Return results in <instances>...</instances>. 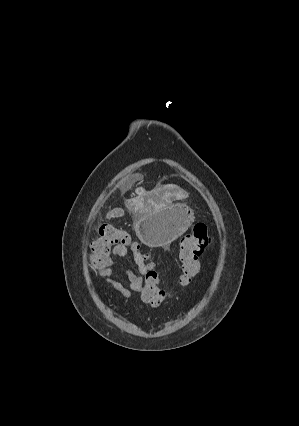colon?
Returning a JSON list of instances; mask_svg holds the SVG:
<instances>
[{"label":"colon","instance_id":"obj_1","mask_svg":"<svg viewBox=\"0 0 299 426\" xmlns=\"http://www.w3.org/2000/svg\"><path fill=\"white\" fill-rule=\"evenodd\" d=\"M212 243V236L204 223L195 224L191 232L182 236L178 253L182 270L179 278L181 286L187 287L193 282L199 272V257L205 249L212 246ZM116 246L139 250V245L124 230L111 223H103L99 228V237L91 244L89 260L92 268L99 270ZM142 256L147 266L141 292L142 301L151 307H159L171 298L172 293L162 286L157 271L147 262V256L145 254Z\"/></svg>","mask_w":299,"mask_h":426}]
</instances>
